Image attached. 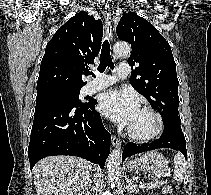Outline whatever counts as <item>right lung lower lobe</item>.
<instances>
[{
  "mask_svg": "<svg viewBox=\"0 0 211 195\" xmlns=\"http://www.w3.org/2000/svg\"><path fill=\"white\" fill-rule=\"evenodd\" d=\"M96 102L79 105L58 98L36 102L28 147L31 169L53 155L78 156L104 166L111 135L95 110Z\"/></svg>",
  "mask_w": 211,
  "mask_h": 195,
  "instance_id": "obj_1",
  "label": "right lung lower lobe"
}]
</instances>
